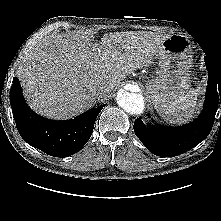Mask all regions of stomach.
<instances>
[{"label": "stomach", "mask_w": 221, "mask_h": 221, "mask_svg": "<svg viewBox=\"0 0 221 221\" xmlns=\"http://www.w3.org/2000/svg\"><path fill=\"white\" fill-rule=\"evenodd\" d=\"M191 54V43L186 36L173 34L163 40L157 56V75L146 87L155 107L177 103L188 94Z\"/></svg>", "instance_id": "stomach-1"}]
</instances>
